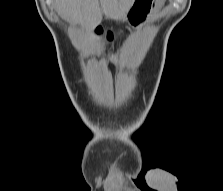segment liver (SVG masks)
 <instances>
[{"mask_svg": "<svg viewBox=\"0 0 223 191\" xmlns=\"http://www.w3.org/2000/svg\"><path fill=\"white\" fill-rule=\"evenodd\" d=\"M134 0H55L58 14L69 22L91 30L107 18L121 20ZM100 2V3H99Z\"/></svg>", "mask_w": 223, "mask_h": 191, "instance_id": "liver-1", "label": "liver"}]
</instances>
